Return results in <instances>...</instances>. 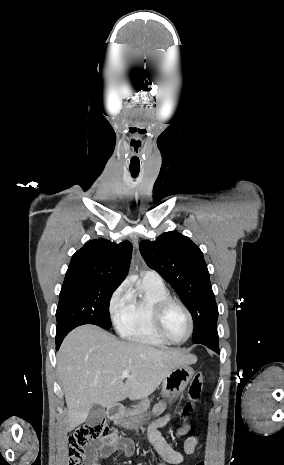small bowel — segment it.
Segmentation results:
<instances>
[{
	"label": "small bowel",
	"instance_id": "c3829d8e",
	"mask_svg": "<svg viewBox=\"0 0 284 465\" xmlns=\"http://www.w3.org/2000/svg\"><path fill=\"white\" fill-rule=\"evenodd\" d=\"M165 409V402H159L154 408V415L156 418L150 424L148 428V438L154 448L160 453V455L167 461L179 465L184 461V456L173 450L165 441L164 437L160 432V428L167 425L171 418V414L162 415ZM189 430V426H185L179 430V434H186ZM199 436H190L184 443V452L187 455L193 454L195 448L199 444ZM121 449L124 456L131 457L135 453V447L132 440L128 438H121L116 433H111L107 438L98 442L88 456L90 465H99V461L107 457L114 449ZM196 465H206L205 462H197Z\"/></svg>",
	"mask_w": 284,
	"mask_h": 465
}]
</instances>
